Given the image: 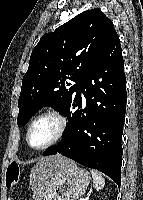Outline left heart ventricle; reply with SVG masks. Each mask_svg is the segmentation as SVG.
I'll return each instance as SVG.
<instances>
[{"instance_id":"obj_1","label":"left heart ventricle","mask_w":143,"mask_h":200,"mask_svg":"<svg viewBox=\"0 0 143 200\" xmlns=\"http://www.w3.org/2000/svg\"><path fill=\"white\" fill-rule=\"evenodd\" d=\"M58 131V123L53 118H43L37 121L29 136L31 146L40 147L51 141Z\"/></svg>"}]
</instances>
